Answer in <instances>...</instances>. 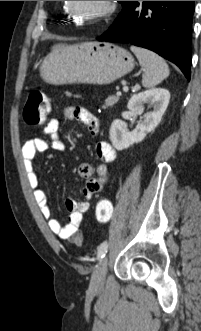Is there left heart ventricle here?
Masks as SVG:
<instances>
[{"label":"left heart ventricle","mask_w":201,"mask_h":331,"mask_svg":"<svg viewBox=\"0 0 201 331\" xmlns=\"http://www.w3.org/2000/svg\"><path fill=\"white\" fill-rule=\"evenodd\" d=\"M75 12L84 16H91L102 10L104 1H73Z\"/></svg>","instance_id":"b2bd125f"}]
</instances>
